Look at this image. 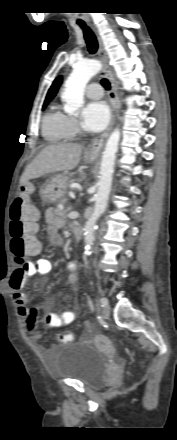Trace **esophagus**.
Returning a JSON list of instances; mask_svg holds the SVG:
<instances>
[{
	"label": "esophagus",
	"mask_w": 177,
	"mask_h": 440,
	"mask_svg": "<svg viewBox=\"0 0 177 440\" xmlns=\"http://www.w3.org/2000/svg\"><path fill=\"white\" fill-rule=\"evenodd\" d=\"M93 31L97 37L98 40V44H99V50H98V54H99V58L102 62V67H103V74L110 80L111 82V91L109 93V99H110V104H111V121L109 123L108 128L106 129V131L98 138H96L91 145L88 147L87 153L90 157H94L99 155V153L101 152L105 141L108 137V135L110 134V131L112 129V126L114 124V119H115V113L117 110V86H116V82L113 76V73L110 69L109 63H108V56L102 41V38L98 32V30L96 29V27H92Z\"/></svg>",
	"instance_id": "1"
}]
</instances>
